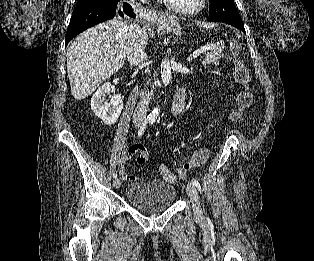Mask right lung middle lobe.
I'll return each mask as SVG.
<instances>
[{"mask_svg":"<svg viewBox=\"0 0 314 261\" xmlns=\"http://www.w3.org/2000/svg\"><path fill=\"white\" fill-rule=\"evenodd\" d=\"M91 1H94V0H77L76 7L77 6H82V5L87 4V3L91 2Z\"/></svg>","mask_w":314,"mask_h":261,"instance_id":"right-lung-middle-lobe-1","label":"right lung middle lobe"}]
</instances>
